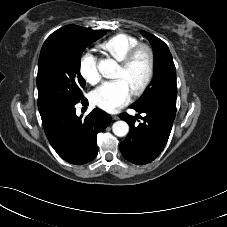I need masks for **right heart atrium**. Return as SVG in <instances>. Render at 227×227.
I'll return each mask as SVG.
<instances>
[{"label":"right heart atrium","instance_id":"1","mask_svg":"<svg viewBox=\"0 0 227 227\" xmlns=\"http://www.w3.org/2000/svg\"><path fill=\"white\" fill-rule=\"evenodd\" d=\"M79 72L88 84H97L100 81V73L96 56L90 52L84 53L79 61Z\"/></svg>","mask_w":227,"mask_h":227}]
</instances>
